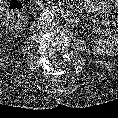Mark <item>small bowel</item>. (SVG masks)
<instances>
[{
    "label": "small bowel",
    "instance_id": "small-bowel-1",
    "mask_svg": "<svg viewBox=\"0 0 118 118\" xmlns=\"http://www.w3.org/2000/svg\"><path fill=\"white\" fill-rule=\"evenodd\" d=\"M84 6L87 10L98 14H106L109 11V4L102 0H86ZM112 39L118 45V35L112 36Z\"/></svg>",
    "mask_w": 118,
    "mask_h": 118
}]
</instances>
